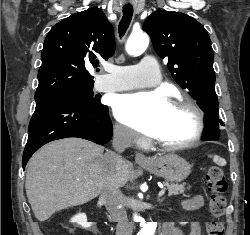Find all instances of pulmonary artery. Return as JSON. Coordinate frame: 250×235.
I'll return each instance as SVG.
<instances>
[{"label":"pulmonary artery","instance_id":"1","mask_svg":"<svg viewBox=\"0 0 250 235\" xmlns=\"http://www.w3.org/2000/svg\"><path fill=\"white\" fill-rule=\"evenodd\" d=\"M158 62L145 56L137 65L112 66L109 74L97 81L101 92H115L141 87H151L159 83Z\"/></svg>","mask_w":250,"mask_h":235}]
</instances>
